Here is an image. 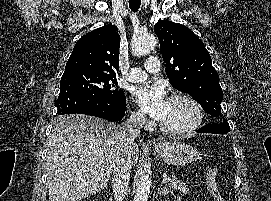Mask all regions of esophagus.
I'll use <instances>...</instances> for the list:
<instances>
[{
    "instance_id": "obj_1",
    "label": "esophagus",
    "mask_w": 271,
    "mask_h": 201,
    "mask_svg": "<svg viewBox=\"0 0 271 201\" xmlns=\"http://www.w3.org/2000/svg\"><path fill=\"white\" fill-rule=\"evenodd\" d=\"M152 144L155 146L161 145V142L158 139H153Z\"/></svg>"
}]
</instances>
